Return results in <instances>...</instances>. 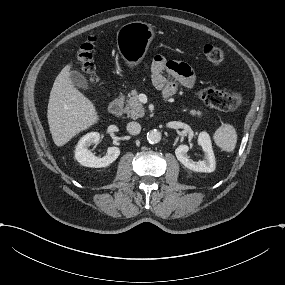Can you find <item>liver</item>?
<instances>
[{
	"mask_svg": "<svg viewBox=\"0 0 285 285\" xmlns=\"http://www.w3.org/2000/svg\"><path fill=\"white\" fill-rule=\"evenodd\" d=\"M70 68L66 65L58 74L49 97L47 118L57 146H63L99 120L93 103L74 87Z\"/></svg>",
	"mask_w": 285,
	"mask_h": 285,
	"instance_id": "obj_1",
	"label": "liver"
}]
</instances>
